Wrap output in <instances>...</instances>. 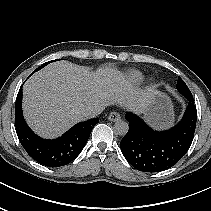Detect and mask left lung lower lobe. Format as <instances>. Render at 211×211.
Wrapping results in <instances>:
<instances>
[{
	"label": "left lung lower lobe",
	"mask_w": 211,
	"mask_h": 211,
	"mask_svg": "<svg viewBox=\"0 0 211 211\" xmlns=\"http://www.w3.org/2000/svg\"><path fill=\"white\" fill-rule=\"evenodd\" d=\"M188 106L173 128L155 131L137 115L127 112L129 131L120 142L126 160L137 170L159 172L174 166L188 151L194 138L197 111L191 93L183 95Z\"/></svg>",
	"instance_id": "obj_1"
}]
</instances>
